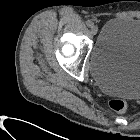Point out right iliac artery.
I'll return each instance as SVG.
<instances>
[{
    "instance_id": "1",
    "label": "right iliac artery",
    "mask_w": 140,
    "mask_h": 140,
    "mask_svg": "<svg viewBox=\"0 0 140 140\" xmlns=\"http://www.w3.org/2000/svg\"><path fill=\"white\" fill-rule=\"evenodd\" d=\"M86 24L88 27H92L94 25V23L91 20H88Z\"/></svg>"
}]
</instances>
